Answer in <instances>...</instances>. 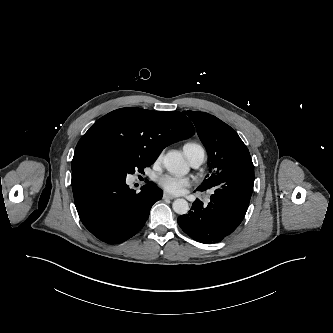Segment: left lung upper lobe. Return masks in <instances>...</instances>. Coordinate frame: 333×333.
<instances>
[{
	"instance_id": "1",
	"label": "left lung upper lobe",
	"mask_w": 333,
	"mask_h": 333,
	"mask_svg": "<svg viewBox=\"0 0 333 333\" xmlns=\"http://www.w3.org/2000/svg\"><path fill=\"white\" fill-rule=\"evenodd\" d=\"M193 121L197 134L209 155V173L198 190L218 187L217 178L224 169L237 173L235 164L251 158L248 148L238 134L217 117L205 112L184 111Z\"/></svg>"
}]
</instances>
